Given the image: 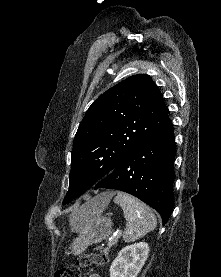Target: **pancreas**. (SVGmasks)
<instances>
[{"label":"pancreas","mask_w":221,"mask_h":277,"mask_svg":"<svg viewBox=\"0 0 221 277\" xmlns=\"http://www.w3.org/2000/svg\"><path fill=\"white\" fill-rule=\"evenodd\" d=\"M108 252H109V248H105L104 250H103V254L105 255V256H107L108 255Z\"/></svg>","instance_id":"pancreas-1"}]
</instances>
